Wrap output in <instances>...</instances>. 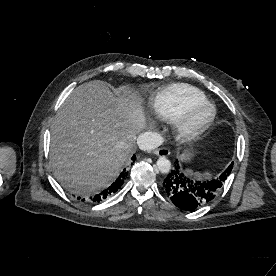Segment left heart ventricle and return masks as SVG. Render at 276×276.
<instances>
[{"label":"left heart ventricle","instance_id":"left-heart-ventricle-1","mask_svg":"<svg viewBox=\"0 0 276 276\" xmlns=\"http://www.w3.org/2000/svg\"><path fill=\"white\" fill-rule=\"evenodd\" d=\"M211 110L208 107H202L196 110L192 115V122L194 124H200L204 122L210 116Z\"/></svg>","mask_w":276,"mask_h":276}]
</instances>
